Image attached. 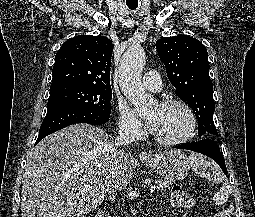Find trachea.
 Listing matches in <instances>:
<instances>
[{"label":"trachea","instance_id":"1","mask_svg":"<svg viewBox=\"0 0 255 217\" xmlns=\"http://www.w3.org/2000/svg\"><path fill=\"white\" fill-rule=\"evenodd\" d=\"M127 6H128L129 9L135 10L138 7V4H129V3H127Z\"/></svg>","mask_w":255,"mask_h":217}]
</instances>
